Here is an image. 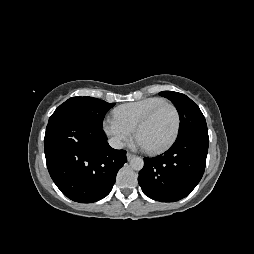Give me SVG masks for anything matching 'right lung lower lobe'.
Masks as SVG:
<instances>
[{
	"label": "right lung lower lobe",
	"instance_id": "98d812e1",
	"mask_svg": "<svg viewBox=\"0 0 254 254\" xmlns=\"http://www.w3.org/2000/svg\"><path fill=\"white\" fill-rule=\"evenodd\" d=\"M44 149L52 180L79 203L106 197L127 161L126 151L109 146L102 127L73 116L49 119Z\"/></svg>",
	"mask_w": 254,
	"mask_h": 254
}]
</instances>
